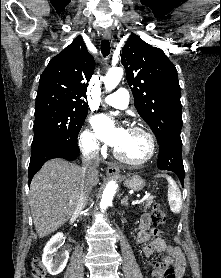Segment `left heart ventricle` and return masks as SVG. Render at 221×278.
Returning <instances> with one entry per match:
<instances>
[{"mask_svg": "<svg viewBox=\"0 0 221 278\" xmlns=\"http://www.w3.org/2000/svg\"><path fill=\"white\" fill-rule=\"evenodd\" d=\"M116 149L128 159L140 160L148 153V140L142 133L126 131L123 143Z\"/></svg>", "mask_w": 221, "mask_h": 278, "instance_id": "left-heart-ventricle-1", "label": "left heart ventricle"}]
</instances>
